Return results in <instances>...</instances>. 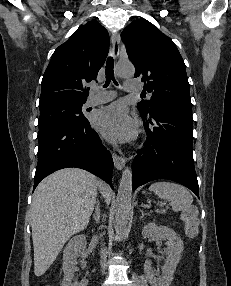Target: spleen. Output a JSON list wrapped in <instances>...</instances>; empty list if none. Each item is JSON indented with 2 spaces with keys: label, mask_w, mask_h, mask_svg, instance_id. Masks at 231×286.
<instances>
[{
  "label": "spleen",
  "mask_w": 231,
  "mask_h": 286,
  "mask_svg": "<svg viewBox=\"0 0 231 286\" xmlns=\"http://www.w3.org/2000/svg\"><path fill=\"white\" fill-rule=\"evenodd\" d=\"M150 191H153L158 197L165 199L176 212L191 206L193 197L183 186L167 181H158L150 185Z\"/></svg>",
  "instance_id": "1"
}]
</instances>
